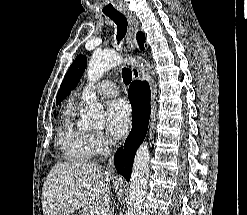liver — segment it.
I'll return each mask as SVG.
<instances>
[{"label": "liver", "instance_id": "obj_1", "mask_svg": "<svg viewBox=\"0 0 247 215\" xmlns=\"http://www.w3.org/2000/svg\"><path fill=\"white\" fill-rule=\"evenodd\" d=\"M111 174L92 163L58 162L42 189L44 215H70L85 207L99 206L110 193Z\"/></svg>", "mask_w": 247, "mask_h": 215}]
</instances>
